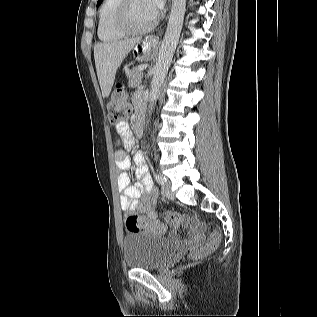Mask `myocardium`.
Here are the masks:
<instances>
[{
    "label": "myocardium",
    "mask_w": 317,
    "mask_h": 317,
    "mask_svg": "<svg viewBox=\"0 0 317 317\" xmlns=\"http://www.w3.org/2000/svg\"><path fill=\"white\" fill-rule=\"evenodd\" d=\"M131 2L132 0H120L114 15L115 28L125 35H141L153 30L157 25L158 16L151 23L141 28H136L130 24L129 11Z\"/></svg>",
    "instance_id": "1"
}]
</instances>
